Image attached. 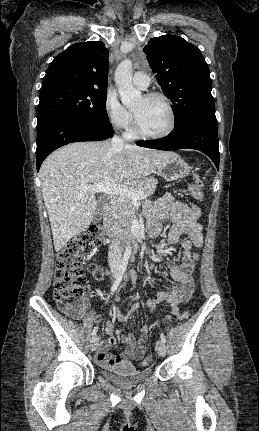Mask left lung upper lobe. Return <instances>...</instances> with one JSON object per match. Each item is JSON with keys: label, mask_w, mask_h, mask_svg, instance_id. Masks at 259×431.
<instances>
[{"label": "left lung upper lobe", "mask_w": 259, "mask_h": 431, "mask_svg": "<svg viewBox=\"0 0 259 431\" xmlns=\"http://www.w3.org/2000/svg\"><path fill=\"white\" fill-rule=\"evenodd\" d=\"M162 91L173 103L175 126L194 118L217 122L208 65L198 47L163 35L144 47Z\"/></svg>", "instance_id": "1"}]
</instances>
